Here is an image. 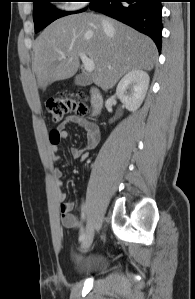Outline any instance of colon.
I'll use <instances>...</instances> for the list:
<instances>
[{"mask_svg":"<svg viewBox=\"0 0 195 299\" xmlns=\"http://www.w3.org/2000/svg\"><path fill=\"white\" fill-rule=\"evenodd\" d=\"M46 110L55 123L60 122L70 112L78 115H86L89 107L85 102L84 96L79 95H59L50 97L46 101Z\"/></svg>","mask_w":195,"mask_h":299,"instance_id":"colon-1","label":"colon"}]
</instances>
